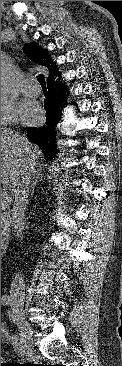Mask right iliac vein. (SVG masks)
<instances>
[{"label":"right iliac vein","instance_id":"obj_1","mask_svg":"<svg viewBox=\"0 0 122 366\" xmlns=\"http://www.w3.org/2000/svg\"><path fill=\"white\" fill-rule=\"evenodd\" d=\"M12 318L19 327L23 343H25V347L28 349V351H32L31 348L32 331L30 325L25 319L24 314L20 311V309L17 306H14Z\"/></svg>","mask_w":122,"mask_h":366}]
</instances>
